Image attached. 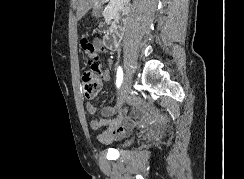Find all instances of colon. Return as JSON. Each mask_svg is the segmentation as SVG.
<instances>
[{
	"instance_id": "obj_1",
	"label": "colon",
	"mask_w": 244,
	"mask_h": 179,
	"mask_svg": "<svg viewBox=\"0 0 244 179\" xmlns=\"http://www.w3.org/2000/svg\"><path fill=\"white\" fill-rule=\"evenodd\" d=\"M102 79L103 74L94 62L85 63L81 85L83 96L91 100L95 99L100 92Z\"/></svg>"
}]
</instances>
